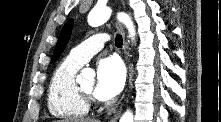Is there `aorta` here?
Here are the masks:
<instances>
[{
	"label": "aorta",
	"instance_id": "762f6f07",
	"mask_svg": "<svg viewBox=\"0 0 221 122\" xmlns=\"http://www.w3.org/2000/svg\"><path fill=\"white\" fill-rule=\"evenodd\" d=\"M112 10L107 6H96L94 7L88 15V23L92 27H97L105 22L111 16ZM118 19L125 24L129 31V37L134 40L135 29L131 18L125 13H119ZM120 122H133V113L131 110H126V112L120 118Z\"/></svg>",
	"mask_w": 221,
	"mask_h": 122
}]
</instances>
